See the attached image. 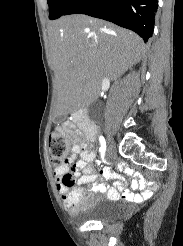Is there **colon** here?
Instances as JSON below:
<instances>
[{
	"label": "colon",
	"instance_id": "obj_1",
	"mask_svg": "<svg viewBox=\"0 0 183 246\" xmlns=\"http://www.w3.org/2000/svg\"><path fill=\"white\" fill-rule=\"evenodd\" d=\"M67 150V143L64 136L60 132L51 133L49 137V154L54 167H61L68 163ZM64 181L67 184H73L74 178H64ZM81 206L82 202L80 200H75L72 203V207L74 208H80Z\"/></svg>",
	"mask_w": 183,
	"mask_h": 246
}]
</instances>
